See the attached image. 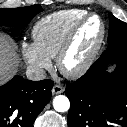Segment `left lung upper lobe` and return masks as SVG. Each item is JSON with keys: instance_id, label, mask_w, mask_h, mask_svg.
<instances>
[{"instance_id": "left-lung-upper-lobe-1", "label": "left lung upper lobe", "mask_w": 127, "mask_h": 127, "mask_svg": "<svg viewBox=\"0 0 127 127\" xmlns=\"http://www.w3.org/2000/svg\"><path fill=\"white\" fill-rule=\"evenodd\" d=\"M109 21L108 46L127 41V24L114 17L111 13H109Z\"/></svg>"}]
</instances>
